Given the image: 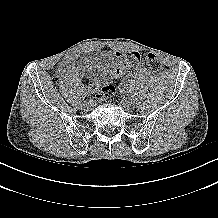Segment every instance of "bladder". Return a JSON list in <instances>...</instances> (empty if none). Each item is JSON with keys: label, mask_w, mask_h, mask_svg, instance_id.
I'll use <instances>...</instances> for the list:
<instances>
[{"label": "bladder", "mask_w": 218, "mask_h": 218, "mask_svg": "<svg viewBox=\"0 0 218 218\" xmlns=\"http://www.w3.org/2000/svg\"><path fill=\"white\" fill-rule=\"evenodd\" d=\"M83 65L88 75L95 81H103L110 69L111 60L108 55H91L87 56Z\"/></svg>", "instance_id": "bladder-1"}]
</instances>
